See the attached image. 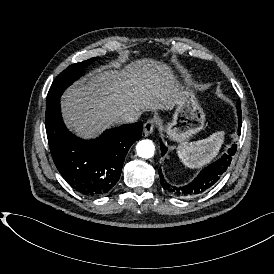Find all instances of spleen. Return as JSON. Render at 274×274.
<instances>
[{"mask_svg": "<svg viewBox=\"0 0 274 274\" xmlns=\"http://www.w3.org/2000/svg\"><path fill=\"white\" fill-rule=\"evenodd\" d=\"M222 140V132H217L197 141L182 142L178 153L185 165L190 167L202 166L216 156Z\"/></svg>", "mask_w": 274, "mask_h": 274, "instance_id": "spleen-1", "label": "spleen"}]
</instances>
